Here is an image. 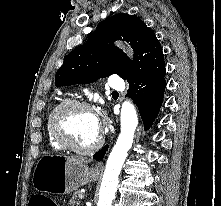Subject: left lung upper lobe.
<instances>
[{
	"mask_svg": "<svg viewBox=\"0 0 221 206\" xmlns=\"http://www.w3.org/2000/svg\"><path fill=\"white\" fill-rule=\"evenodd\" d=\"M130 42L134 59L114 46ZM165 69L161 45L155 34L136 16L117 14L104 20L87 42L64 57L55 75L56 86L87 84L117 74L129 85Z\"/></svg>",
	"mask_w": 221,
	"mask_h": 206,
	"instance_id": "left-lung-upper-lobe-1",
	"label": "left lung upper lobe"
}]
</instances>
